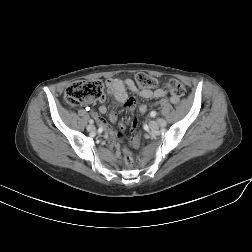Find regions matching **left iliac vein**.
Wrapping results in <instances>:
<instances>
[{"label":"left iliac vein","mask_w":252,"mask_h":252,"mask_svg":"<svg viewBox=\"0 0 252 252\" xmlns=\"http://www.w3.org/2000/svg\"><path fill=\"white\" fill-rule=\"evenodd\" d=\"M160 122L165 123V121L162 120V119L160 120ZM149 127H150L151 130H157L159 128V124L156 121H150L149 122Z\"/></svg>","instance_id":"4c4485c4"}]
</instances>
